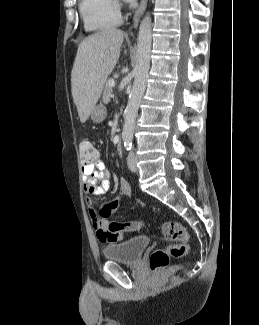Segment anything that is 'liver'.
<instances>
[{
	"instance_id": "1",
	"label": "liver",
	"mask_w": 259,
	"mask_h": 325,
	"mask_svg": "<svg viewBox=\"0 0 259 325\" xmlns=\"http://www.w3.org/2000/svg\"><path fill=\"white\" fill-rule=\"evenodd\" d=\"M124 33L105 29L85 38L79 45L71 72V91L81 123L98 102L108 75L120 57Z\"/></svg>"
}]
</instances>
